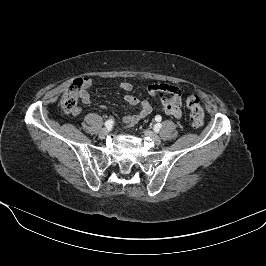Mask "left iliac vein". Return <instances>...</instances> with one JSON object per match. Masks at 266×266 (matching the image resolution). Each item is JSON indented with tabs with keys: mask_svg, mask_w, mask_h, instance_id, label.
I'll return each mask as SVG.
<instances>
[{
	"mask_svg": "<svg viewBox=\"0 0 266 266\" xmlns=\"http://www.w3.org/2000/svg\"><path fill=\"white\" fill-rule=\"evenodd\" d=\"M144 135L150 138L156 145H159L161 143L160 137L150 130H145Z\"/></svg>",
	"mask_w": 266,
	"mask_h": 266,
	"instance_id": "left-iliac-vein-1",
	"label": "left iliac vein"
}]
</instances>
